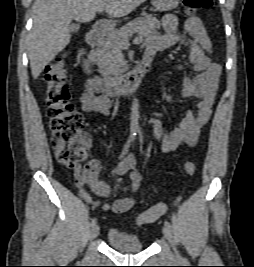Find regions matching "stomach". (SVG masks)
<instances>
[{
    "instance_id": "0dacf381",
    "label": "stomach",
    "mask_w": 254,
    "mask_h": 267,
    "mask_svg": "<svg viewBox=\"0 0 254 267\" xmlns=\"http://www.w3.org/2000/svg\"><path fill=\"white\" fill-rule=\"evenodd\" d=\"M152 2L158 11L164 12L175 9L179 5L180 0H152Z\"/></svg>"
}]
</instances>
